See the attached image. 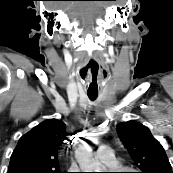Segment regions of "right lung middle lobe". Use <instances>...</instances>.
I'll use <instances>...</instances> for the list:
<instances>
[{
    "mask_svg": "<svg viewBox=\"0 0 173 173\" xmlns=\"http://www.w3.org/2000/svg\"><path fill=\"white\" fill-rule=\"evenodd\" d=\"M20 173H61L60 171H20Z\"/></svg>",
    "mask_w": 173,
    "mask_h": 173,
    "instance_id": "1",
    "label": "right lung middle lobe"
}]
</instances>
